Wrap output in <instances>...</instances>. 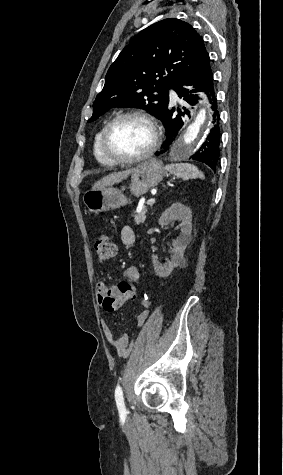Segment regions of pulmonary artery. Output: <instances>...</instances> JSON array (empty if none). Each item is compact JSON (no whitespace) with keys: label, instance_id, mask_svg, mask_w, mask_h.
<instances>
[{"label":"pulmonary artery","instance_id":"obj_1","mask_svg":"<svg viewBox=\"0 0 283 475\" xmlns=\"http://www.w3.org/2000/svg\"><path fill=\"white\" fill-rule=\"evenodd\" d=\"M168 94L170 95V98H171L172 101L177 100V96L175 94V89L174 88H169L168 89Z\"/></svg>","mask_w":283,"mask_h":475}]
</instances>
